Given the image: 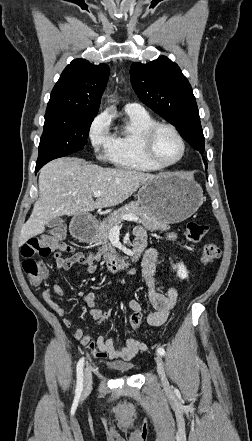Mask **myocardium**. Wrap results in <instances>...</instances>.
<instances>
[{
    "mask_svg": "<svg viewBox=\"0 0 252 441\" xmlns=\"http://www.w3.org/2000/svg\"><path fill=\"white\" fill-rule=\"evenodd\" d=\"M161 129H167L170 132H172L181 144L180 156L177 159H175L174 161H171L169 163L161 162L156 157L155 152H154V139H155V136L158 133V131ZM142 149H143L145 157L153 165H155L159 169H164V168H168V167L174 166L177 163H179L184 158V156L186 154L187 146H186L185 139L183 138V136L180 134V132L178 131V129L175 126H173L172 124H169V123H165V122H155L154 124L149 126L144 131V133L142 135Z\"/></svg>",
    "mask_w": 252,
    "mask_h": 441,
    "instance_id": "myocardium-1",
    "label": "myocardium"
}]
</instances>
